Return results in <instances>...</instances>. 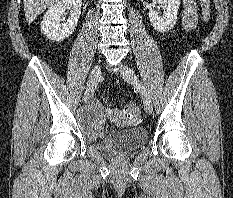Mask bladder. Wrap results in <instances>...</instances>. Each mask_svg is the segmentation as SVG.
<instances>
[{
	"instance_id": "1",
	"label": "bladder",
	"mask_w": 233,
	"mask_h": 198,
	"mask_svg": "<svg viewBox=\"0 0 233 198\" xmlns=\"http://www.w3.org/2000/svg\"><path fill=\"white\" fill-rule=\"evenodd\" d=\"M105 110L93 104L82 112L80 122L84 133L102 149L113 155H127L147 142L143 127L128 129H105Z\"/></svg>"
}]
</instances>
